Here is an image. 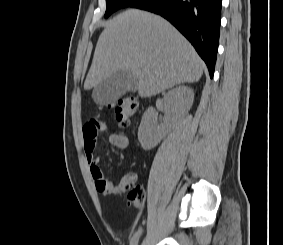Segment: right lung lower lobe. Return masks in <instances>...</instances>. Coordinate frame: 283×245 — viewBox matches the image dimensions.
<instances>
[{
	"label": "right lung lower lobe",
	"instance_id": "98d812e1",
	"mask_svg": "<svg viewBox=\"0 0 283 245\" xmlns=\"http://www.w3.org/2000/svg\"><path fill=\"white\" fill-rule=\"evenodd\" d=\"M131 7L154 12L170 21L192 43L213 77L221 0H140Z\"/></svg>",
	"mask_w": 283,
	"mask_h": 245
}]
</instances>
